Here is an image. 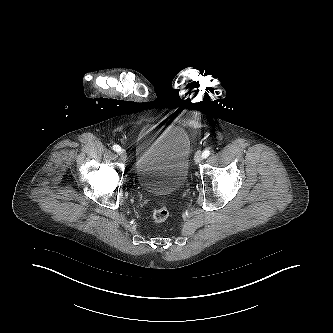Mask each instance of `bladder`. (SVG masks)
Segmentation results:
<instances>
[{"label":"bladder","instance_id":"31cf9c89","mask_svg":"<svg viewBox=\"0 0 333 333\" xmlns=\"http://www.w3.org/2000/svg\"><path fill=\"white\" fill-rule=\"evenodd\" d=\"M191 141L179 126L163 129L137 154L135 177L148 193L168 195L180 190L188 178Z\"/></svg>","mask_w":333,"mask_h":333}]
</instances>
